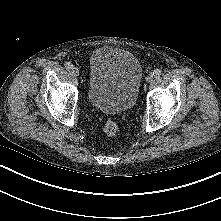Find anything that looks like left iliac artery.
<instances>
[{
  "instance_id": "44dca946",
  "label": "left iliac artery",
  "mask_w": 221,
  "mask_h": 221,
  "mask_svg": "<svg viewBox=\"0 0 221 221\" xmlns=\"http://www.w3.org/2000/svg\"><path fill=\"white\" fill-rule=\"evenodd\" d=\"M161 75V71L159 70V69H155L154 71H153V76L154 77H159Z\"/></svg>"
}]
</instances>
